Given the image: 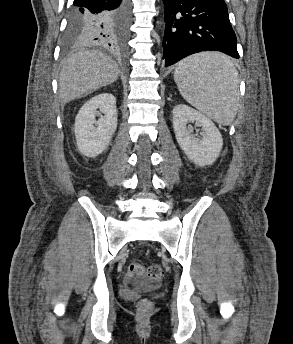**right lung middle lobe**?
<instances>
[{
  "label": "right lung middle lobe",
  "instance_id": "dd1d6c3e",
  "mask_svg": "<svg viewBox=\"0 0 293 344\" xmlns=\"http://www.w3.org/2000/svg\"><path fill=\"white\" fill-rule=\"evenodd\" d=\"M87 23L88 17L86 14L72 10L64 39L66 46L85 43L83 26Z\"/></svg>",
  "mask_w": 293,
  "mask_h": 344
}]
</instances>
